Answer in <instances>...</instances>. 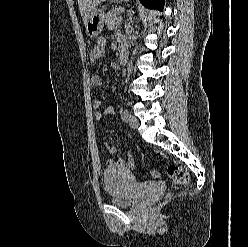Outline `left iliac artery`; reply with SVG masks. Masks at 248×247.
I'll list each match as a JSON object with an SVG mask.
<instances>
[{"label": "left iliac artery", "instance_id": "1", "mask_svg": "<svg viewBox=\"0 0 248 247\" xmlns=\"http://www.w3.org/2000/svg\"><path fill=\"white\" fill-rule=\"evenodd\" d=\"M123 116H124V119H125L126 121L129 120L130 114H129L128 110H126V109L124 110Z\"/></svg>", "mask_w": 248, "mask_h": 247}]
</instances>
